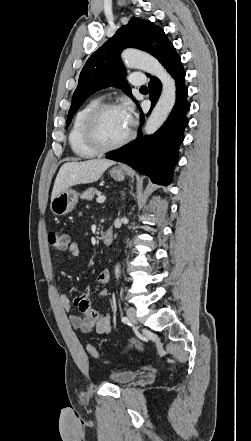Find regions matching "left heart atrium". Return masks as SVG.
Instances as JSON below:
<instances>
[{"label":"left heart atrium","instance_id":"left-heart-atrium-1","mask_svg":"<svg viewBox=\"0 0 251 441\" xmlns=\"http://www.w3.org/2000/svg\"><path fill=\"white\" fill-rule=\"evenodd\" d=\"M123 112L125 113L128 121L131 123V113H132V109L131 106L129 104L124 105L122 108Z\"/></svg>","mask_w":251,"mask_h":441}]
</instances>
